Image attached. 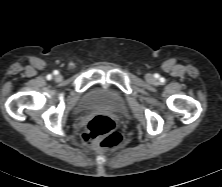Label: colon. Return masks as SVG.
I'll use <instances>...</instances> for the list:
<instances>
[{
    "label": "colon",
    "mask_w": 222,
    "mask_h": 187,
    "mask_svg": "<svg viewBox=\"0 0 222 187\" xmlns=\"http://www.w3.org/2000/svg\"><path fill=\"white\" fill-rule=\"evenodd\" d=\"M83 140L91 146L110 149L120 146L123 137L117 130L116 122L107 115H97L86 125Z\"/></svg>",
    "instance_id": "obj_1"
}]
</instances>
